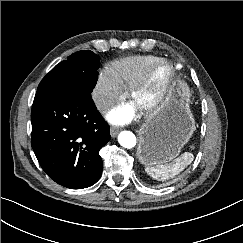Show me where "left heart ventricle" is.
Masks as SVG:
<instances>
[{
  "mask_svg": "<svg viewBox=\"0 0 243 243\" xmlns=\"http://www.w3.org/2000/svg\"><path fill=\"white\" fill-rule=\"evenodd\" d=\"M167 74H168V68L165 66L160 67L156 71L152 82L142 92L137 94L132 104L138 108L140 105L152 100L160 91L167 77Z\"/></svg>",
  "mask_w": 243,
  "mask_h": 243,
  "instance_id": "obj_1",
  "label": "left heart ventricle"
}]
</instances>
